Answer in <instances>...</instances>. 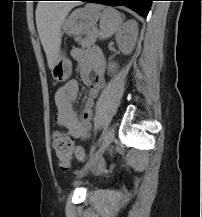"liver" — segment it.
<instances>
[{
	"label": "liver",
	"instance_id": "obj_1",
	"mask_svg": "<svg viewBox=\"0 0 202 217\" xmlns=\"http://www.w3.org/2000/svg\"><path fill=\"white\" fill-rule=\"evenodd\" d=\"M75 3L41 2L36 8V25L45 51L48 67L52 69L58 59L62 24Z\"/></svg>",
	"mask_w": 202,
	"mask_h": 217
}]
</instances>
